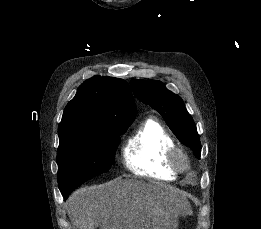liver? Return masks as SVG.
<instances>
[{"mask_svg": "<svg viewBox=\"0 0 261 229\" xmlns=\"http://www.w3.org/2000/svg\"><path fill=\"white\" fill-rule=\"evenodd\" d=\"M164 191L165 187L143 181L115 179L74 191L67 201V213L75 229H163L167 213L158 203ZM176 205H188L182 191H177Z\"/></svg>", "mask_w": 261, "mask_h": 229, "instance_id": "liver-1", "label": "liver"}]
</instances>
